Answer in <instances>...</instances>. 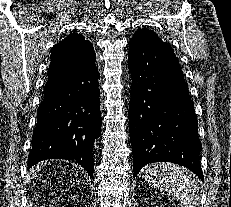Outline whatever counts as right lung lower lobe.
I'll use <instances>...</instances> for the list:
<instances>
[{
	"label": "right lung lower lobe",
	"mask_w": 231,
	"mask_h": 207,
	"mask_svg": "<svg viewBox=\"0 0 231 207\" xmlns=\"http://www.w3.org/2000/svg\"><path fill=\"white\" fill-rule=\"evenodd\" d=\"M95 59L96 55L72 70L49 67L28 168L45 159H68L93 176L94 143L101 131Z\"/></svg>",
	"instance_id": "98d812e1"
}]
</instances>
